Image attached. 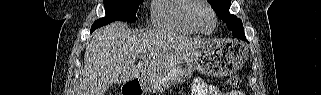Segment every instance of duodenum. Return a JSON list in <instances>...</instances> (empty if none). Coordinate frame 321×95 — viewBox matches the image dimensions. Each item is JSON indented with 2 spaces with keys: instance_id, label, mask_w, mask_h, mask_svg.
Masks as SVG:
<instances>
[{
  "instance_id": "410a0bca",
  "label": "duodenum",
  "mask_w": 321,
  "mask_h": 95,
  "mask_svg": "<svg viewBox=\"0 0 321 95\" xmlns=\"http://www.w3.org/2000/svg\"><path fill=\"white\" fill-rule=\"evenodd\" d=\"M143 80H137V84L140 86L142 84Z\"/></svg>"
}]
</instances>
